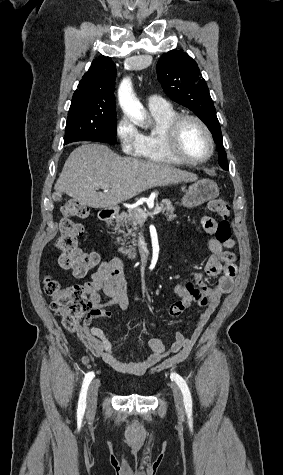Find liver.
I'll return each mask as SVG.
<instances>
[{"mask_svg": "<svg viewBox=\"0 0 283 475\" xmlns=\"http://www.w3.org/2000/svg\"><path fill=\"white\" fill-rule=\"evenodd\" d=\"M198 176L168 164L140 158H121L107 146L85 144L68 156L54 186L89 208H114L141 192L157 186L196 182ZM110 184L109 192H95L96 186Z\"/></svg>", "mask_w": 283, "mask_h": 475, "instance_id": "liver-1", "label": "liver"}]
</instances>
